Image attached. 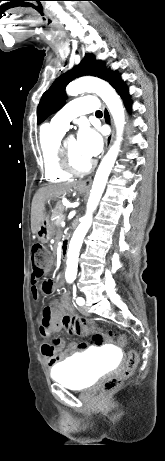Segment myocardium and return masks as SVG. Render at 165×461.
Listing matches in <instances>:
<instances>
[{"label":"myocardium","instance_id":"obj_1","mask_svg":"<svg viewBox=\"0 0 165 461\" xmlns=\"http://www.w3.org/2000/svg\"><path fill=\"white\" fill-rule=\"evenodd\" d=\"M68 138L69 137L62 138L58 144L57 154L59 166L63 171L70 175H85L92 170L94 167V162L90 161L83 168L76 167L70 159L69 151L66 145Z\"/></svg>","mask_w":165,"mask_h":461}]
</instances>
